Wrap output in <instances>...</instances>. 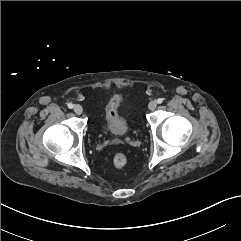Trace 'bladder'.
I'll return each instance as SVG.
<instances>
[{
  "mask_svg": "<svg viewBox=\"0 0 241 241\" xmlns=\"http://www.w3.org/2000/svg\"><path fill=\"white\" fill-rule=\"evenodd\" d=\"M102 129L115 137H125L130 133L131 126L128 119L119 112V98L114 97L109 100L102 121Z\"/></svg>",
  "mask_w": 241,
  "mask_h": 241,
  "instance_id": "1",
  "label": "bladder"
}]
</instances>
